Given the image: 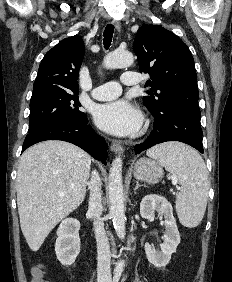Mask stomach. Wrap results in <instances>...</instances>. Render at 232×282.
<instances>
[{
  "label": "stomach",
  "instance_id": "stomach-1",
  "mask_svg": "<svg viewBox=\"0 0 232 282\" xmlns=\"http://www.w3.org/2000/svg\"><path fill=\"white\" fill-rule=\"evenodd\" d=\"M134 177L149 184H155L163 177L162 166L151 159L142 158L133 167Z\"/></svg>",
  "mask_w": 232,
  "mask_h": 282
}]
</instances>
